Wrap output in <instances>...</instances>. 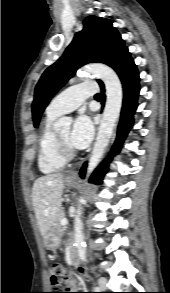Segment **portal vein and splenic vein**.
<instances>
[{
  "label": "portal vein and splenic vein",
  "mask_w": 170,
  "mask_h": 293,
  "mask_svg": "<svg viewBox=\"0 0 170 293\" xmlns=\"http://www.w3.org/2000/svg\"><path fill=\"white\" fill-rule=\"evenodd\" d=\"M60 223H61L62 226H65V225L68 224V220L66 218H63V219H61Z\"/></svg>",
  "instance_id": "1"
}]
</instances>
